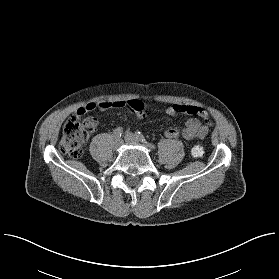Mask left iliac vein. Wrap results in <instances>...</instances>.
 Here are the masks:
<instances>
[{"instance_id":"1","label":"left iliac vein","mask_w":279,"mask_h":279,"mask_svg":"<svg viewBox=\"0 0 279 279\" xmlns=\"http://www.w3.org/2000/svg\"><path fill=\"white\" fill-rule=\"evenodd\" d=\"M124 139L128 143L140 144L139 139L132 133H126Z\"/></svg>"}]
</instances>
